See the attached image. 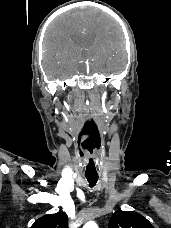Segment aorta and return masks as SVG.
<instances>
[{
    "label": "aorta",
    "instance_id": "1",
    "mask_svg": "<svg viewBox=\"0 0 171 228\" xmlns=\"http://www.w3.org/2000/svg\"><path fill=\"white\" fill-rule=\"evenodd\" d=\"M83 228H98V226L95 222L89 221L83 226Z\"/></svg>",
    "mask_w": 171,
    "mask_h": 228
}]
</instances>
